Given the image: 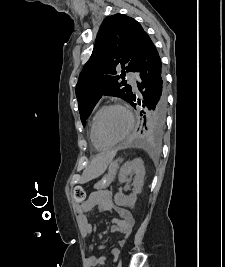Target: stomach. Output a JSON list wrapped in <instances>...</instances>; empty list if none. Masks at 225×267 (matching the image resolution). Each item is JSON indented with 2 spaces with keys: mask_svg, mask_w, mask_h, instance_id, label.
I'll list each match as a JSON object with an SVG mask.
<instances>
[{
  "mask_svg": "<svg viewBox=\"0 0 225 267\" xmlns=\"http://www.w3.org/2000/svg\"><path fill=\"white\" fill-rule=\"evenodd\" d=\"M113 154L103 153L100 154L91 164V172L89 178L100 176L107 168L108 164L112 162Z\"/></svg>",
  "mask_w": 225,
  "mask_h": 267,
  "instance_id": "0dacf381",
  "label": "stomach"
}]
</instances>
